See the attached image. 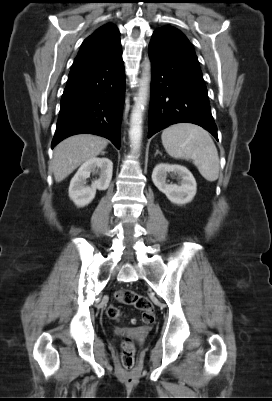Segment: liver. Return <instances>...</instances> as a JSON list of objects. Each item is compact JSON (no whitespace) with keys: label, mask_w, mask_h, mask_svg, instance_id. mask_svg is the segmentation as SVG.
I'll use <instances>...</instances> for the list:
<instances>
[{"label":"liver","mask_w":272,"mask_h":401,"mask_svg":"<svg viewBox=\"0 0 272 401\" xmlns=\"http://www.w3.org/2000/svg\"><path fill=\"white\" fill-rule=\"evenodd\" d=\"M107 145L106 139L91 134L74 135L60 142L52 160L55 181H63L82 163L99 155Z\"/></svg>","instance_id":"liver-1"}]
</instances>
